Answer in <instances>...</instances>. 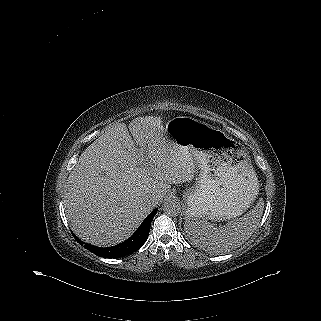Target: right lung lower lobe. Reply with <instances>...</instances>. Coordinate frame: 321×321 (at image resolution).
<instances>
[{
	"instance_id": "obj_1",
	"label": "right lung lower lobe",
	"mask_w": 321,
	"mask_h": 321,
	"mask_svg": "<svg viewBox=\"0 0 321 321\" xmlns=\"http://www.w3.org/2000/svg\"><path fill=\"white\" fill-rule=\"evenodd\" d=\"M157 210L158 209H155L145 218V220L142 222V224L139 226V228L130 238H128L123 243H120L113 247H108V248L96 247V246L82 242L75 235L74 237L80 244H83L86 249L93 252L97 256H101L105 258L123 257L135 252L146 242L147 237L149 235L152 219L156 215Z\"/></svg>"
}]
</instances>
